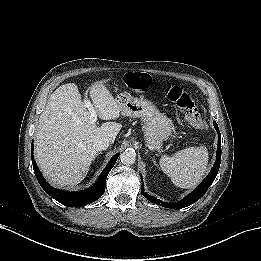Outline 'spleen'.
Returning <instances> with one entry per match:
<instances>
[{
    "instance_id": "spleen-1",
    "label": "spleen",
    "mask_w": 261,
    "mask_h": 261,
    "mask_svg": "<svg viewBox=\"0 0 261 261\" xmlns=\"http://www.w3.org/2000/svg\"><path fill=\"white\" fill-rule=\"evenodd\" d=\"M208 151L205 146L187 147L172 156L160 159L162 171L180 188H191L203 178L208 165Z\"/></svg>"
}]
</instances>
